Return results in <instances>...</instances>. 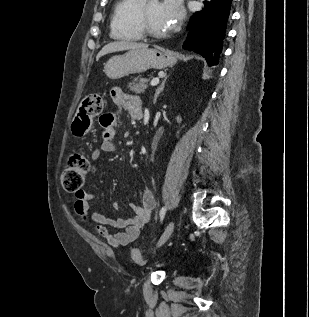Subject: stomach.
<instances>
[{"label":"stomach","mask_w":309,"mask_h":317,"mask_svg":"<svg viewBox=\"0 0 309 317\" xmlns=\"http://www.w3.org/2000/svg\"><path fill=\"white\" fill-rule=\"evenodd\" d=\"M175 56L160 47L131 49L111 57L104 67L108 78L117 80L149 69H164L176 63Z\"/></svg>","instance_id":"obj_1"}]
</instances>
